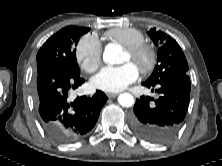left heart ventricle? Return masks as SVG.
Returning <instances> with one entry per match:
<instances>
[{"instance_id": "b2bd125f", "label": "left heart ventricle", "mask_w": 222, "mask_h": 166, "mask_svg": "<svg viewBox=\"0 0 222 166\" xmlns=\"http://www.w3.org/2000/svg\"><path fill=\"white\" fill-rule=\"evenodd\" d=\"M123 62H131L137 67H139L141 64V60L131 58L126 52L124 53Z\"/></svg>"}]
</instances>
